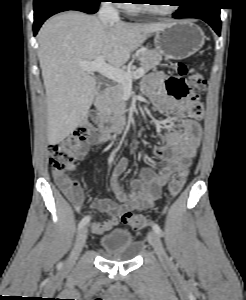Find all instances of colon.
Segmentation results:
<instances>
[{"instance_id": "colon-1", "label": "colon", "mask_w": 246, "mask_h": 300, "mask_svg": "<svg viewBox=\"0 0 246 300\" xmlns=\"http://www.w3.org/2000/svg\"><path fill=\"white\" fill-rule=\"evenodd\" d=\"M168 67L178 76L185 77L188 74V67L183 62H170ZM187 83V93L195 100L190 109V114L200 117L202 107L199 103V92L205 87V79L199 70H194ZM96 116L90 114L72 135L62 141L49 145V161L52 169L58 172L72 170V163L84 151V144L87 138L96 130ZM189 176V166L180 167L174 174L168 186L169 199H175L182 191ZM123 222L133 229L140 230L148 227L147 217L136 213H125L122 216Z\"/></svg>"}]
</instances>
